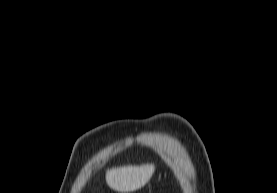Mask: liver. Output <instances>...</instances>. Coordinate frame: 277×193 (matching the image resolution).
<instances>
[{
    "mask_svg": "<svg viewBox=\"0 0 277 193\" xmlns=\"http://www.w3.org/2000/svg\"><path fill=\"white\" fill-rule=\"evenodd\" d=\"M154 171V164L112 168L106 172V182L114 191L133 192L143 187L150 180Z\"/></svg>",
    "mask_w": 277,
    "mask_h": 193,
    "instance_id": "liver-1",
    "label": "liver"
}]
</instances>
